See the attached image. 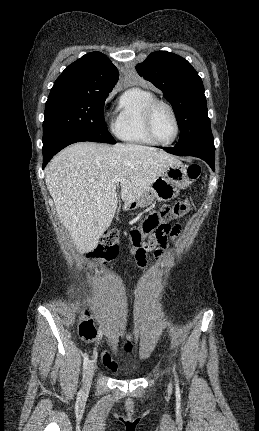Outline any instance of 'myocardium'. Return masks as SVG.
<instances>
[{
  "label": "myocardium",
  "mask_w": 259,
  "mask_h": 431,
  "mask_svg": "<svg viewBox=\"0 0 259 431\" xmlns=\"http://www.w3.org/2000/svg\"><path fill=\"white\" fill-rule=\"evenodd\" d=\"M159 106H164L166 107L169 112L172 115L174 124H175V133L174 136L172 137L171 140L167 141V142H161L159 141L154 134L153 131V116L155 113V110L159 107ZM144 126H145V130L146 133L148 135V137L157 145H161V146H167L170 145L172 143H174L176 141V139L179 136V132H180V125H179V120H178V116L176 114L175 109L173 108V106L161 99H154L152 102H150L147 107L145 108L144 111Z\"/></svg>",
  "instance_id": "1"
}]
</instances>
